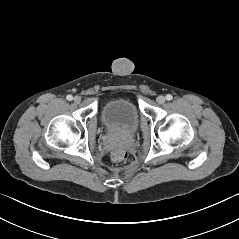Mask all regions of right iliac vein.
<instances>
[{"label":"right iliac vein","mask_w":239,"mask_h":239,"mask_svg":"<svg viewBox=\"0 0 239 239\" xmlns=\"http://www.w3.org/2000/svg\"><path fill=\"white\" fill-rule=\"evenodd\" d=\"M73 100L76 104H79L81 102V97L75 96Z\"/></svg>","instance_id":"obj_1"}]
</instances>
